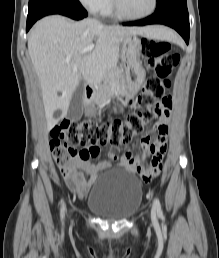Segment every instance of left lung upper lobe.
Wrapping results in <instances>:
<instances>
[{
    "instance_id": "obj_1",
    "label": "left lung upper lobe",
    "mask_w": 219,
    "mask_h": 258,
    "mask_svg": "<svg viewBox=\"0 0 219 258\" xmlns=\"http://www.w3.org/2000/svg\"><path fill=\"white\" fill-rule=\"evenodd\" d=\"M186 5V0H157V7L155 11L161 10L169 5Z\"/></svg>"
}]
</instances>
